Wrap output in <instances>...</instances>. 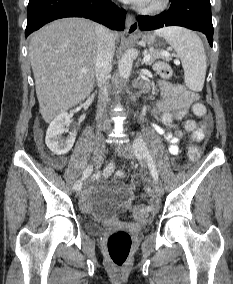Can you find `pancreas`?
Here are the masks:
<instances>
[{"instance_id": "1", "label": "pancreas", "mask_w": 233, "mask_h": 284, "mask_svg": "<svg viewBox=\"0 0 233 284\" xmlns=\"http://www.w3.org/2000/svg\"><path fill=\"white\" fill-rule=\"evenodd\" d=\"M163 51L161 50H152L149 51V55H150V60L148 62H146V65H152L157 59L159 58H164V56L162 55Z\"/></svg>"}]
</instances>
